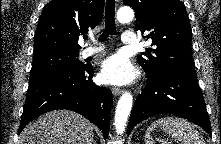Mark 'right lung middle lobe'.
Instances as JSON below:
<instances>
[{"instance_id":"1","label":"right lung middle lobe","mask_w":221,"mask_h":144,"mask_svg":"<svg viewBox=\"0 0 221 144\" xmlns=\"http://www.w3.org/2000/svg\"><path fill=\"white\" fill-rule=\"evenodd\" d=\"M79 52L48 50L34 53L30 82L33 83L54 72L78 69L84 64L78 59Z\"/></svg>"}]
</instances>
